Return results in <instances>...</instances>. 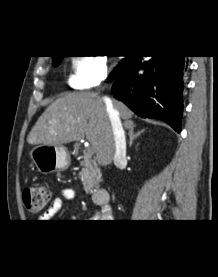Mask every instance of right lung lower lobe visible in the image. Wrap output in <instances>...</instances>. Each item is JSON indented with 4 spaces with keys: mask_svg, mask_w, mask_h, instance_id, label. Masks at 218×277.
Returning a JSON list of instances; mask_svg holds the SVG:
<instances>
[{
    "mask_svg": "<svg viewBox=\"0 0 218 277\" xmlns=\"http://www.w3.org/2000/svg\"><path fill=\"white\" fill-rule=\"evenodd\" d=\"M141 56L119 66L112 86L114 96L141 117L164 120L181 131L182 94L188 63L185 56H152L143 64ZM139 69L144 73L138 75Z\"/></svg>",
    "mask_w": 218,
    "mask_h": 277,
    "instance_id": "right-lung-lower-lobe-1",
    "label": "right lung lower lobe"
}]
</instances>
